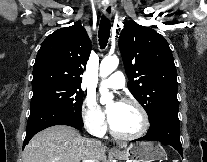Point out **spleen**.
<instances>
[{"mask_svg": "<svg viewBox=\"0 0 207 162\" xmlns=\"http://www.w3.org/2000/svg\"><path fill=\"white\" fill-rule=\"evenodd\" d=\"M173 162H178L177 160H174Z\"/></svg>", "mask_w": 207, "mask_h": 162, "instance_id": "spleen-1", "label": "spleen"}]
</instances>
